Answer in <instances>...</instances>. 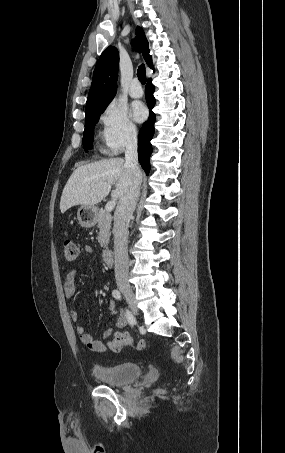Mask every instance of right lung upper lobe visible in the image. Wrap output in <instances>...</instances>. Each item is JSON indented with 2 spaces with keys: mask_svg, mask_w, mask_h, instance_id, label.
<instances>
[{
  "mask_svg": "<svg viewBox=\"0 0 285 453\" xmlns=\"http://www.w3.org/2000/svg\"><path fill=\"white\" fill-rule=\"evenodd\" d=\"M132 41L135 49L142 52L146 63L152 68V57L149 55V44L140 27L136 29ZM119 67L117 48L109 46L100 56L93 73V80L86 102V114L106 108L116 94Z\"/></svg>",
  "mask_w": 285,
  "mask_h": 453,
  "instance_id": "1",
  "label": "right lung upper lobe"
}]
</instances>
